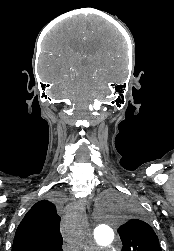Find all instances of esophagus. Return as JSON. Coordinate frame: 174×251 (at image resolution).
Wrapping results in <instances>:
<instances>
[{
  "label": "esophagus",
  "mask_w": 174,
  "mask_h": 251,
  "mask_svg": "<svg viewBox=\"0 0 174 251\" xmlns=\"http://www.w3.org/2000/svg\"><path fill=\"white\" fill-rule=\"evenodd\" d=\"M82 226H83V231H84V234H85V237H86V240L87 242H90L91 241V229L89 227V223L87 221V217L86 215H84L83 217V222H82Z\"/></svg>",
  "instance_id": "obj_1"
}]
</instances>
